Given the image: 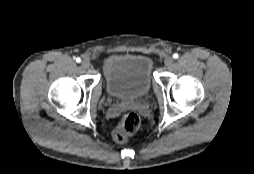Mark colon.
Instances as JSON below:
<instances>
[{"mask_svg":"<svg viewBox=\"0 0 254 174\" xmlns=\"http://www.w3.org/2000/svg\"><path fill=\"white\" fill-rule=\"evenodd\" d=\"M141 120L135 113H127L112 132L113 139L118 143L126 142L139 130Z\"/></svg>","mask_w":254,"mask_h":174,"instance_id":"1","label":"colon"}]
</instances>
